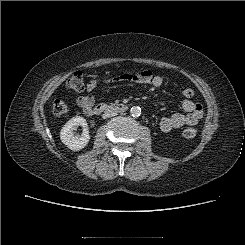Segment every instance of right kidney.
<instances>
[{
    "mask_svg": "<svg viewBox=\"0 0 245 245\" xmlns=\"http://www.w3.org/2000/svg\"><path fill=\"white\" fill-rule=\"evenodd\" d=\"M82 126L83 132L81 136L74 134L76 127ZM61 141L71 150L78 151L83 149L90 140L88 124L81 116L71 118L61 129Z\"/></svg>",
    "mask_w": 245,
    "mask_h": 245,
    "instance_id": "right-kidney-1",
    "label": "right kidney"
}]
</instances>
